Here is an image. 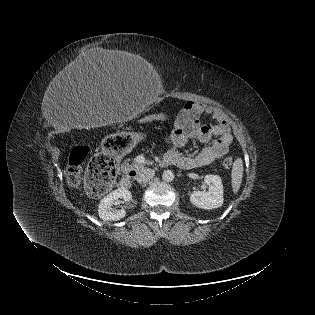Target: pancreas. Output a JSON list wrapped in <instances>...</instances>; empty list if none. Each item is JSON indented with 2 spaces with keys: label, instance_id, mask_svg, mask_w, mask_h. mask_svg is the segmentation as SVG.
<instances>
[{
  "label": "pancreas",
  "instance_id": "obj_1",
  "mask_svg": "<svg viewBox=\"0 0 315 315\" xmlns=\"http://www.w3.org/2000/svg\"><path fill=\"white\" fill-rule=\"evenodd\" d=\"M149 162H146L145 164H148ZM145 164H139L136 159H134L133 163L129 165V170H136L140 171L145 167Z\"/></svg>",
  "mask_w": 315,
  "mask_h": 315
}]
</instances>
